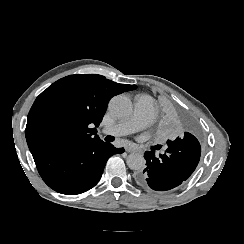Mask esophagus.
<instances>
[{"label":"esophagus","mask_w":244,"mask_h":244,"mask_svg":"<svg viewBox=\"0 0 244 244\" xmlns=\"http://www.w3.org/2000/svg\"><path fill=\"white\" fill-rule=\"evenodd\" d=\"M125 151L128 152V153H133L135 150L132 147H130V146H126L125 147Z\"/></svg>","instance_id":"1"}]
</instances>
